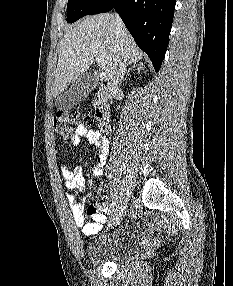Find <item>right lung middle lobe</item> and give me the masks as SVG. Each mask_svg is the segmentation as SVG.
I'll list each match as a JSON object with an SVG mask.
<instances>
[{
  "mask_svg": "<svg viewBox=\"0 0 233 286\" xmlns=\"http://www.w3.org/2000/svg\"><path fill=\"white\" fill-rule=\"evenodd\" d=\"M100 0H68L67 22L73 23L85 15H88Z\"/></svg>",
  "mask_w": 233,
  "mask_h": 286,
  "instance_id": "obj_1",
  "label": "right lung middle lobe"
}]
</instances>
